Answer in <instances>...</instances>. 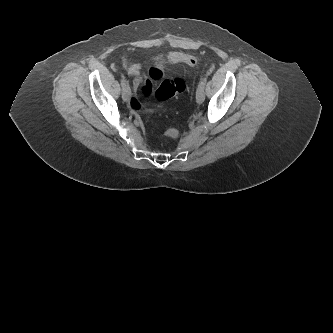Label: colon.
<instances>
[{"label": "colon", "mask_w": 333, "mask_h": 333, "mask_svg": "<svg viewBox=\"0 0 333 333\" xmlns=\"http://www.w3.org/2000/svg\"><path fill=\"white\" fill-rule=\"evenodd\" d=\"M152 82L153 81L147 79L144 86L142 87V91H146L148 95L153 94L154 97L159 101L168 100L177 94L185 92L188 89V82L182 78H165L154 92ZM130 106L135 110L140 108V105L137 104L134 98L131 100ZM166 135L175 138L179 135V131L176 129H169L166 132Z\"/></svg>", "instance_id": "1"}]
</instances>
